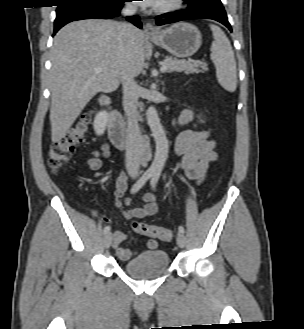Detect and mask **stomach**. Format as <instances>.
<instances>
[{"mask_svg": "<svg viewBox=\"0 0 304 329\" xmlns=\"http://www.w3.org/2000/svg\"><path fill=\"white\" fill-rule=\"evenodd\" d=\"M149 39L157 46L180 58L192 56L202 43V36L198 28L186 22L174 23Z\"/></svg>", "mask_w": 304, "mask_h": 329, "instance_id": "obj_1", "label": "stomach"}]
</instances>
